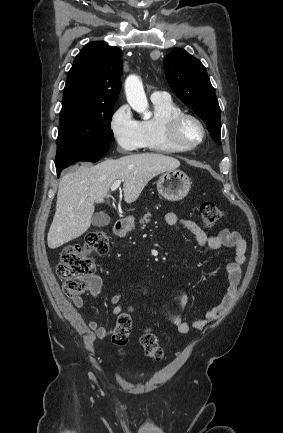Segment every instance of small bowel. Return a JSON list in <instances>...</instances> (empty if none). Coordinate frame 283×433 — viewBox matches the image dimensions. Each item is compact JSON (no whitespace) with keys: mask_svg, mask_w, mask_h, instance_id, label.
<instances>
[{"mask_svg":"<svg viewBox=\"0 0 283 433\" xmlns=\"http://www.w3.org/2000/svg\"><path fill=\"white\" fill-rule=\"evenodd\" d=\"M165 222L169 227H174L181 224L184 228L190 231L197 243L202 247H207L213 250L220 249L222 247H231L234 249V259L231 263L227 265V276H228V286L226 293L221 301V303L207 311L203 318L194 321L192 324L184 321L181 316L174 315L171 318L172 324L177 328L178 332L181 334H188L192 328L201 330L208 323L214 322L220 319L229 308L234 304L239 284L241 280V266L246 259V241L242 236L236 232L231 231L227 228L220 230L215 235H209L204 230H202L195 222L191 220L179 219L178 216L169 212L165 215ZM90 294L92 296H97L101 292L102 282L98 277L90 278ZM142 292L146 294V289L143 288ZM111 304L113 305L112 313L115 316L121 314L123 306L121 304L122 295L117 293L111 297ZM179 303L181 307H185L188 303V296L182 294L179 297ZM84 305L82 297H74L71 299V303L66 305L65 313L68 319L75 325L83 326L85 323L78 313L77 308H82ZM87 327L91 330L99 339L107 338L111 333V328L101 326L97 321L92 320L88 323Z\"/></svg>","mask_w":283,"mask_h":433,"instance_id":"c3829d8e","label":"small bowel"}]
</instances>
